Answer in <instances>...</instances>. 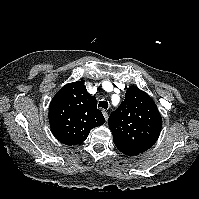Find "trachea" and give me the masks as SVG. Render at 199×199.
I'll return each instance as SVG.
<instances>
[{"instance_id":"1","label":"trachea","mask_w":199,"mask_h":199,"mask_svg":"<svg viewBox=\"0 0 199 199\" xmlns=\"http://www.w3.org/2000/svg\"><path fill=\"white\" fill-rule=\"evenodd\" d=\"M98 107L107 109L108 108V102L100 101L99 104H98Z\"/></svg>"}]
</instances>
